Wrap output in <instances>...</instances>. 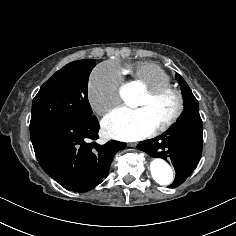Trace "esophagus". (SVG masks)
Instances as JSON below:
<instances>
[{"label": "esophagus", "mask_w": 236, "mask_h": 236, "mask_svg": "<svg viewBox=\"0 0 236 236\" xmlns=\"http://www.w3.org/2000/svg\"><path fill=\"white\" fill-rule=\"evenodd\" d=\"M136 145H137L136 143H131L130 144L131 147H136Z\"/></svg>", "instance_id": "1"}]
</instances>
